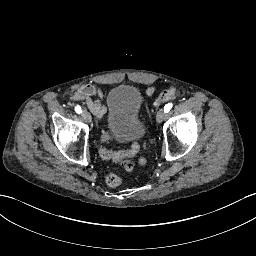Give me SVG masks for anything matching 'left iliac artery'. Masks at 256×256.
<instances>
[{
	"instance_id": "44dca946",
	"label": "left iliac artery",
	"mask_w": 256,
	"mask_h": 256,
	"mask_svg": "<svg viewBox=\"0 0 256 256\" xmlns=\"http://www.w3.org/2000/svg\"><path fill=\"white\" fill-rule=\"evenodd\" d=\"M173 104L172 103H168L164 106V111L165 113L169 112L170 109L172 108Z\"/></svg>"
}]
</instances>
